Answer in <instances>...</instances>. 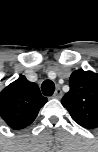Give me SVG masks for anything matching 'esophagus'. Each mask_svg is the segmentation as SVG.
Returning a JSON list of instances; mask_svg holds the SVG:
<instances>
[{
    "mask_svg": "<svg viewBox=\"0 0 98 152\" xmlns=\"http://www.w3.org/2000/svg\"><path fill=\"white\" fill-rule=\"evenodd\" d=\"M53 97L56 99H60L62 97V90L59 87L56 88Z\"/></svg>",
    "mask_w": 98,
    "mask_h": 152,
    "instance_id": "1",
    "label": "esophagus"
}]
</instances>
